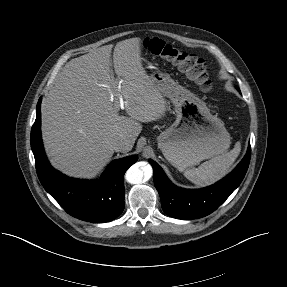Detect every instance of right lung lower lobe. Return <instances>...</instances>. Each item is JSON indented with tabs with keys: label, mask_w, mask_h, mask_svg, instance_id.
<instances>
[{
	"label": "right lung lower lobe",
	"mask_w": 287,
	"mask_h": 287,
	"mask_svg": "<svg viewBox=\"0 0 287 287\" xmlns=\"http://www.w3.org/2000/svg\"><path fill=\"white\" fill-rule=\"evenodd\" d=\"M41 98L31 129V148L39 180L45 190L71 216L83 221L103 223L117 218L124 209L123 176L138 157L114 160L98 180L73 179L56 171L49 163L41 138Z\"/></svg>",
	"instance_id": "obj_1"
}]
</instances>
